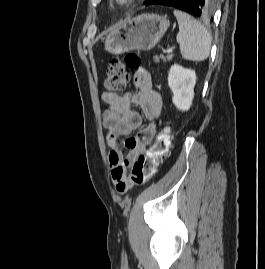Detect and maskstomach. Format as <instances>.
Masks as SVG:
<instances>
[{
	"instance_id": "1",
	"label": "stomach",
	"mask_w": 265,
	"mask_h": 269,
	"mask_svg": "<svg viewBox=\"0 0 265 269\" xmlns=\"http://www.w3.org/2000/svg\"><path fill=\"white\" fill-rule=\"evenodd\" d=\"M169 27L166 16L141 14L114 28L105 38V50L121 54L131 50H150Z\"/></svg>"
}]
</instances>
